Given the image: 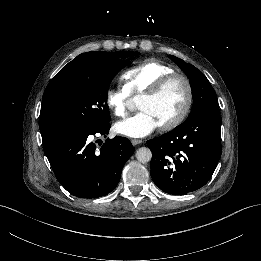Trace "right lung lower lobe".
Here are the masks:
<instances>
[{
  "mask_svg": "<svg viewBox=\"0 0 261 261\" xmlns=\"http://www.w3.org/2000/svg\"><path fill=\"white\" fill-rule=\"evenodd\" d=\"M110 123L95 130H63L43 143L59 183L73 196L98 198L117 186L125 162L134 149L129 139H107L100 149L91 141L109 133ZM106 138V136H104Z\"/></svg>",
  "mask_w": 261,
  "mask_h": 261,
  "instance_id": "right-lung-lower-lobe-1",
  "label": "right lung lower lobe"
}]
</instances>
